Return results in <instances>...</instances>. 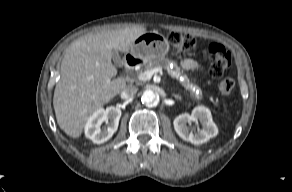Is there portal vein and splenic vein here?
Segmentation results:
<instances>
[{
  "instance_id": "18ae733b",
  "label": "portal vein and splenic vein",
  "mask_w": 292,
  "mask_h": 192,
  "mask_svg": "<svg viewBox=\"0 0 292 192\" xmlns=\"http://www.w3.org/2000/svg\"><path fill=\"white\" fill-rule=\"evenodd\" d=\"M157 73H162V68L161 67H157V68H154V69H151V70H147V71L141 72L137 76V78L140 81H147V80H150L152 78V76L154 74H157Z\"/></svg>"
}]
</instances>
